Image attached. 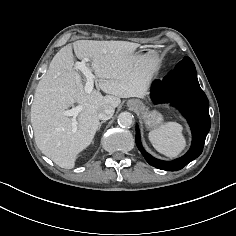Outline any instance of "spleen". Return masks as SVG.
Segmentation results:
<instances>
[{"label":"spleen","mask_w":236,"mask_h":236,"mask_svg":"<svg viewBox=\"0 0 236 236\" xmlns=\"http://www.w3.org/2000/svg\"><path fill=\"white\" fill-rule=\"evenodd\" d=\"M183 127L176 122L160 123L149 133L153 147L167 157H177L186 147Z\"/></svg>","instance_id":"spleen-1"}]
</instances>
